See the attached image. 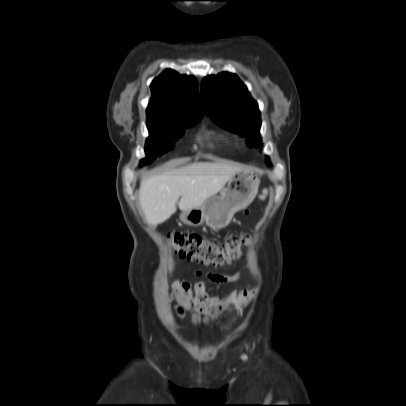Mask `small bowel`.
Instances as JSON below:
<instances>
[{"label": "small bowel", "mask_w": 406, "mask_h": 406, "mask_svg": "<svg viewBox=\"0 0 406 406\" xmlns=\"http://www.w3.org/2000/svg\"><path fill=\"white\" fill-rule=\"evenodd\" d=\"M201 272H196L200 275ZM240 277V272L232 275L207 273L206 278L216 283H233ZM174 298L177 302V309L180 316H184L186 312H192L194 321L214 322L218 320L228 306L234 301L235 294L232 293L228 297L220 298L209 296L205 291V281H199L195 285V292H191V284L187 280H182L174 285ZM250 290L242 292L241 299L244 301L248 298Z\"/></svg>", "instance_id": "c3829d8e"}]
</instances>
